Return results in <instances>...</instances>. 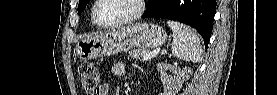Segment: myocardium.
<instances>
[{
	"label": "myocardium",
	"instance_id": "f54148a6",
	"mask_svg": "<svg viewBox=\"0 0 277 95\" xmlns=\"http://www.w3.org/2000/svg\"><path fill=\"white\" fill-rule=\"evenodd\" d=\"M101 1L102 0H96L92 7V10H91V15H92V19H93L94 23L101 28H113V27H117V26H121V25L130 23V22L138 19L142 15V13L144 12V9H145L144 0H131L135 4V11L130 16L116 20V21L102 23L101 21L98 20V18L96 16V9L99 6V4L101 3Z\"/></svg>",
	"mask_w": 277,
	"mask_h": 95
}]
</instances>
